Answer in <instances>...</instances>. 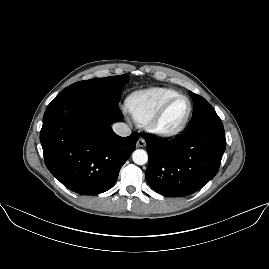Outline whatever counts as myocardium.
I'll return each instance as SVG.
<instances>
[{
  "mask_svg": "<svg viewBox=\"0 0 269 269\" xmlns=\"http://www.w3.org/2000/svg\"><path fill=\"white\" fill-rule=\"evenodd\" d=\"M184 98L188 102V109L186 112V115L183 119V121L180 123L178 127L171 131H165L160 128V123L165 116L166 112L170 108V106L178 99ZM192 112V104L188 97L184 95H176L170 99H168L166 102L163 103V105L158 109V111L148 120L146 124V128L149 133H151L153 136L160 138V139H168L173 138L177 135H179L187 126L190 115Z\"/></svg>",
  "mask_w": 269,
  "mask_h": 269,
  "instance_id": "1",
  "label": "myocardium"
}]
</instances>
